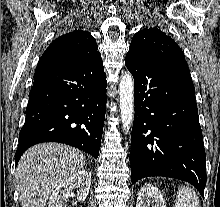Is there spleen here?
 <instances>
[{
  "mask_svg": "<svg viewBox=\"0 0 220 207\" xmlns=\"http://www.w3.org/2000/svg\"><path fill=\"white\" fill-rule=\"evenodd\" d=\"M175 207H200L199 198L190 187L180 188L177 192Z\"/></svg>",
  "mask_w": 220,
  "mask_h": 207,
  "instance_id": "obj_1",
  "label": "spleen"
}]
</instances>
